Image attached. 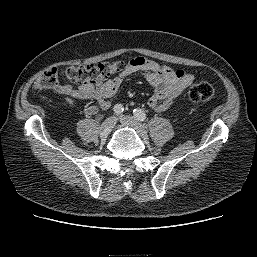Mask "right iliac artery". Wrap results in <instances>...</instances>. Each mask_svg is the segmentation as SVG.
Instances as JSON below:
<instances>
[{
  "label": "right iliac artery",
  "instance_id": "right-iliac-artery-1",
  "mask_svg": "<svg viewBox=\"0 0 257 257\" xmlns=\"http://www.w3.org/2000/svg\"><path fill=\"white\" fill-rule=\"evenodd\" d=\"M114 112L119 115L124 111V108L121 104H116L113 108Z\"/></svg>",
  "mask_w": 257,
  "mask_h": 257
}]
</instances>
